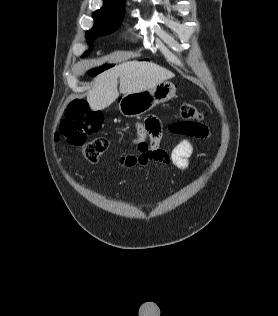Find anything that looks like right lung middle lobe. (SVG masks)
<instances>
[{
  "mask_svg": "<svg viewBox=\"0 0 278 316\" xmlns=\"http://www.w3.org/2000/svg\"><path fill=\"white\" fill-rule=\"evenodd\" d=\"M121 11L98 10L93 14L95 25L86 33L88 42H92L98 35H105L114 32L121 25ZM88 52L83 55L85 57Z\"/></svg>",
  "mask_w": 278,
  "mask_h": 316,
  "instance_id": "right-lung-middle-lobe-1",
  "label": "right lung middle lobe"
}]
</instances>
